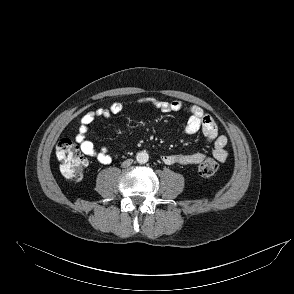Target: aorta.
<instances>
[{
    "label": "aorta",
    "mask_w": 294,
    "mask_h": 294,
    "mask_svg": "<svg viewBox=\"0 0 294 294\" xmlns=\"http://www.w3.org/2000/svg\"><path fill=\"white\" fill-rule=\"evenodd\" d=\"M136 160L140 164H145L149 160V155L146 151H141L136 154Z\"/></svg>",
    "instance_id": "762f6f07"
}]
</instances>
